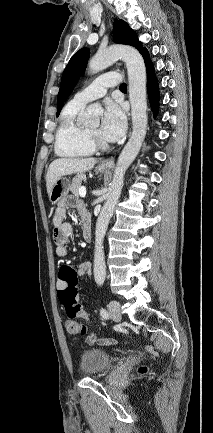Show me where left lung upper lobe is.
Listing matches in <instances>:
<instances>
[{
    "mask_svg": "<svg viewBox=\"0 0 213 433\" xmlns=\"http://www.w3.org/2000/svg\"><path fill=\"white\" fill-rule=\"evenodd\" d=\"M113 40L118 44L134 46L142 55L147 51L146 48L142 47V43L138 40L136 33L123 20L114 21ZM89 56L90 50L88 48H82L72 56L66 66L57 96V116L59 115L64 102L76 85L78 78L85 71Z\"/></svg>",
    "mask_w": 213,
    "mask_h": 433,
    "instance_id": "1",
    "label": "left lung upper lobe"
}]
</instances>
